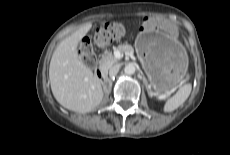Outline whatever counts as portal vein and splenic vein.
<instances>
[{"label": "portal vein and splenic vein", "mask_w": 230, "mask_h": 155, "mask_svg": "<svg viewBox=\"0 0 230 155\" xmlns=\"http://www.w3.org/2000/svg\"><path fill=\"white\" fill-rule=\"evenodd\" d=\"M176 89H177L176 87L172 88L171 92H174ZM163 97L165 98L166 96L164 95Z\"/></svg>", "instance_id": "obj_1"}]
</instances>
